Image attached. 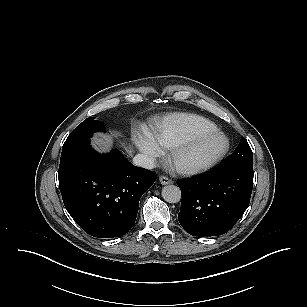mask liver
<instances>
[{"label": "liver", "mask_w": 307, "mask_h": 307, "mask_svg": "<svg viewBox=\"0 0 307 307\" xmlns=\"http://www.w3.org/2000/svg\"><path fill=\"white\" fill-rule=\"evenodd\" d=\"M110 142H111L110 138H96L95 139V144L98 146L100 151H108L110 148ZM126 149L129 154L132 153L131 148H126Z\"/></svg>", "instance_id": "6515ba94"}]
</instances>
